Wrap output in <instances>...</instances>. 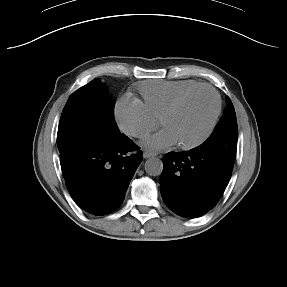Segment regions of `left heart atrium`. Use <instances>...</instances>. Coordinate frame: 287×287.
I'll return each instance as SVG.
<instances>
[{"label": "left heart atrium", "instance_id": "obj_1", "mask_svg": "<svg viewBox=\"0 0 287 287\" xmlns=\"http://www.w3.org/2000/svg\"><path fill=\"white\" fill-rule=\"evenodd\" d=\"M176 143L174 136L165 128L144 142L145 146L152 150H164Z\"/></svg>", "mask_w": 287, "mask_h": 287}]
</instances>
